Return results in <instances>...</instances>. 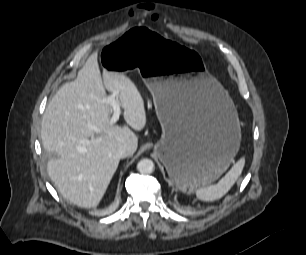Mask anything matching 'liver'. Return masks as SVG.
<instances>
[{
	"label": "liver",
	"mask_w": 306,
	"mask_h": 255,
	"mask_svg": "<svg viewBox=\"0 0 306 255\" xmlns=\"http://www.w3.org/2000/svg\"><path fill=\"white\" fill-rule=\"evenodd\" d=\"M106 90L115 94L126 123L142 130L146 112L136 85L120 72L103 70L101 75L96 54L75 81L57 91L41 123L43 147L53 155L47 163L49 177L66 200L84 208L97 206L104 196L120 162L117 149L128 144L134 153L138 145L128 126L110 124Z\"/></svg>",
	"instance_id": "1"
}]
</instances>
